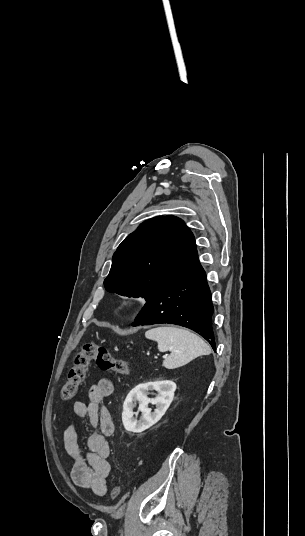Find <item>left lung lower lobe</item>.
<instances>
[{
  "label": "left lung lower lobe",
  "mask_w": 305,
  "mask_h": 536,
  "mask_svg": "<svg viewBox=\"0 0 305 536\" xmlns=\"http://www.w3.org/2000/svg\"><path fill=\"white\" fill-rule=\"evenodd\" d=\"M212 296L199 259L150 298L133 326L169 323L187 327L215 349Z\"/></svg>",
  "instance_id": "left-lung-lower-lobe-1"
}]
</instances>
